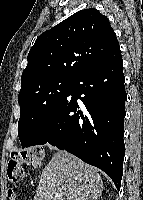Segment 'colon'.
<instances>
[{"instance_id":"obj_1","label":"colon","mask_w":143,"mask_h":200,"mask_svg":"<svg viewBox=\"0 0 143 200\" xmlns=\"http://www.w3.org/2000/svg\"><path fill=\"white\" fill-rule=\"evenodd\" d=\"M43 158L44 151L39 147H29L11 153L6 168V176L10 184V188L8 189V197L10 200H14L16 196L14 186L24 178V167L29 166L37 169L41 166Z\"/></svg>"}]
</instances>
